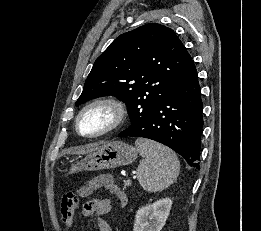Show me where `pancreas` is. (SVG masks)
<instances>
[{
    "label": "pancreas",
    "instance_id": "pancreas-1",
    "mask_svg": "<svg viewBox=\"0 0 261 231\" xmlns=\"http://www.w3.org/2000/svg\"><path fill=\"white\" fill-rule=\"evenodd\" d=\"M130 184H127L126 182H125V186H129Z\"/></svg>",
    "mask_w": 261,
    "mask_h": 231
}]
</instances>
